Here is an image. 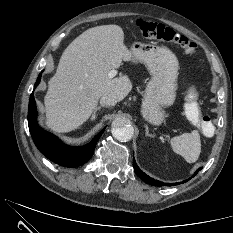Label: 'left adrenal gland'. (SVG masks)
I'll use <instances>...</instances> for the list:
<instances>
[{"label": "left adrenal gland", "mask_w": 233, "mask_h": 233, "mask_svg": "<svg viewBox=\"0 0 233 233\" xmlns=\"http://www.w3.org/2000/svg\"><path fill=\"white\" fill-rule=\"evenodd\" d=\"M145 131H146V132H145L146 136L151 137V138L154 137V135L149 134V129H148V126H147V125H145Z\"/></svg>", "instance_id": "1"}]
</instances>
